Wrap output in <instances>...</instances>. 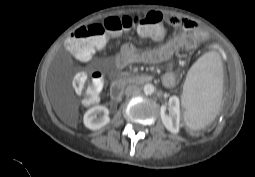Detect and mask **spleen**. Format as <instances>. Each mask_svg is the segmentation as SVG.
Listing matches in <instances>:
<instances>
[{
  "label": "spleen",
  "mask_w": 255,
  "mask_h": 177,
  "mask_svg": "<svg viewBox=\"0 0 255 177\" xmlns=\"http://www.w3.org/2000/svg\"><path fill=\"white\" fill-rule=\"evenodd\" d=\"M223 92V65L217 52H207L190 68L183 86L184 119L192 130L209 125L218 114Z\"/></svg>",
  "instance_id": "obj_1"
}]
</instances>
